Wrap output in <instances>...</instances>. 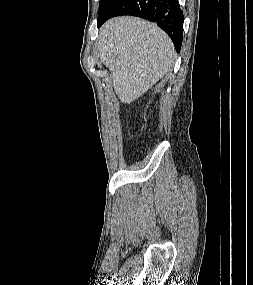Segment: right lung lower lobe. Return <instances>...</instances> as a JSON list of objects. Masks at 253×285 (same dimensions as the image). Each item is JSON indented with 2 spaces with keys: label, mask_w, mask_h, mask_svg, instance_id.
I'll return each mask as SVG.
<instances>
[{
  "label": "right lung lower lobe",
  "mask_w": 253,
  "mask_h": 285,
  "mask_svg": "<svg viewBox=\"0 0 253 285\" xmlns=\"http://www.w3.org/2000/svg\"><path fill=\"white\" fill-rule=\"evenodd\" d=\"M119 15H133L156 22L172 39L179 52L183 40V12L178 0H113L98 16V27Z\"/></svg>",
  "instance_id": "obj_1"
}]
</instances>
